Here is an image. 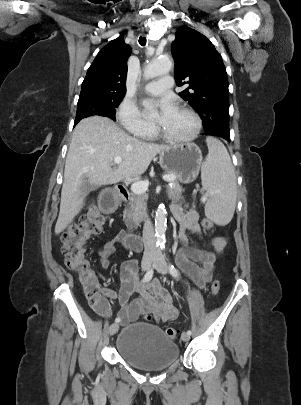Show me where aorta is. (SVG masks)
I'll list each match as a JSON object with an SVG mask.
<instances>
[{
	"label": "aorta",
	"instance_id": "obj_1",
	"mask_svg": "<svg viewBox=\"0 0 301 405\" xmlns=\"http://www.w3.org/2000/svg\"><path fill=\"white\" fill-rule=\"evenodd\" d=\"M172 69V62L168 58L155 59L149 62L145 71L144 78L151 79L162 74L170 72ZM166 209L163 204H160L156 210L155 215V237L158 247H163L165 243V232L167 229Z\"/></svg>",
	"mask_w": 301,
	"mask_h": 405
}]
</instances>
